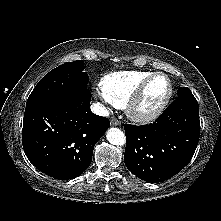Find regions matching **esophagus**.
Wrapping results in <instances>:
<instances>
[{
	"instance_id": "34e87169",
	"label": "esophagus",
	"mask_w": 221,
	"mask_h": 221,
	"mask_svg": "<svg viewBox=\"0 0 221 221\" xmlns=\"http://www.w3.org/2000/svg\"><path fill=\"white\" fill-rule=\"evenodd\" d=\"M111 125L112 126H120L121 122L115 118L111 119Z\"/></svg>"
}]
</instances>
